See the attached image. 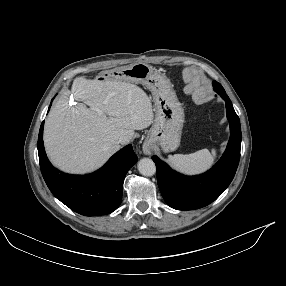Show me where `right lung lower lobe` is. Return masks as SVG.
Masks as SVG:
<instances>
[{
    "label": "right lung lower lobe",
    "instance_id": "right-lung-lower-lobe-1",
    "mask_svg": "<svg viewBox=\"0 0 286 286\" xmlns=\"http://www.w3.org/2000/svg\"><path fill=\"white\" fill-rule=\"evenodd\" d=\"M43 127L38 137V155L43 178L53 195L73 211L84 216L110 214L122 202L123 181L137 162L131 145L115 153L109 161L87 176H72L56 170L49 162L43 145Z\"/></svg>",
    "mask_w": 286,
    "mask_h": 286
}]
</instances>
